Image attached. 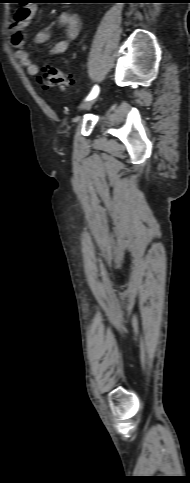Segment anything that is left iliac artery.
I'll return each instance as SVG.
<instances>
[{
    "instance_id": "left-iliac-artery-1",
    "label": "left iliac artery",
    "mask_w": 190,
    "mask_h": 483,
    "mask_svg": "<svg viewBox=\"0 0 190 483\" xmlns=\"http://www.w3.org/2000/svg\"><path fill=\"white\" fill-rule=\"evenodd\" d=\"M98 93H99V87L97 85H95L93 87L92 91L90 92V94L88 95V97L86 98V100L90 101V100L96 98Z\"/></svg>"
}]
</instances>
